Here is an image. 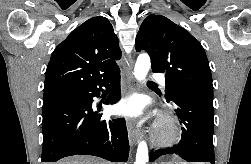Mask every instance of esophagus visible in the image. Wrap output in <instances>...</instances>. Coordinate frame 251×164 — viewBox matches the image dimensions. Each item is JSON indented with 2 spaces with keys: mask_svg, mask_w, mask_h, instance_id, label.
I'll use <instances>...</instances> for the list:
<instances>
[{
  "mask_svg": "<svg viewBox=\"0 0 251 164\" xmlns=\"http://www.w3.org/2000/svg\"><path fill=\"white\" fill-rule=\"evenodd\" d=\"M133 64H134V59L132 58L128 63H127V67H126V72L128 75L127 78V88H128V94L133 93L136 90L135 87V81H134V77H133ZM127 129H128V136H129V140L130 143L132 145H135L138 140H139V129L137 128L136 125V121L134 120H127Z\"/></svg>",
  "mask_w": 251,
  "mask_h": 164,
  "instance_id": "obj_1",
  "label": "esophagus"
}]
</instances>
